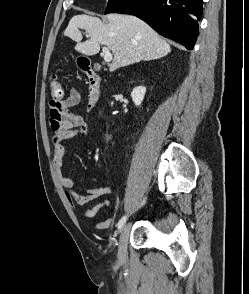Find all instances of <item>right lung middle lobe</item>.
Listing matches in <instances>:
<instances>
[{
	"label": "right lung middle lobe",
	"instance_id": "obj_1",
	"mask_svg": "<svg viewBox=\"0 0 249 294\" xmlns=\"http://www.w3.org/2000/svg\"><path fill=\"white\" fill-rule=\"evenodd\" d=\"M128 0H108L106 13H116Z\"/></svg>",
	"mask_w": 249,
	"mask_h": 294
}]
</instances>
